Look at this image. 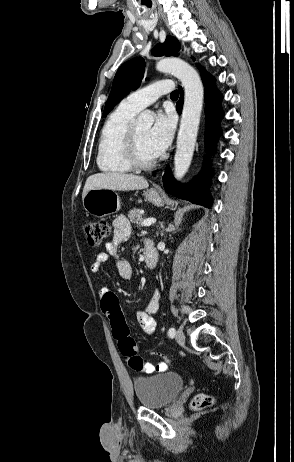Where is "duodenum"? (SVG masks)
Instances as JSON below:
<instances>
[{"label":"duodenum","instance_id":"obj_1","mask_svg":"<svg viewBox=\"0 0 294 462\" xmlns=\"http://www.w3.org/2000/svg\"><path fill=\"white\" fill-rule=\"evenodd\" d=\"M144 261L148 268L153 269L158 262L157 249L151 244L146 243L144 245Z\"/></svg>","mask_w":294,"mask_h":462}]
</instances>
